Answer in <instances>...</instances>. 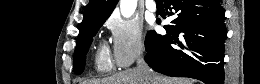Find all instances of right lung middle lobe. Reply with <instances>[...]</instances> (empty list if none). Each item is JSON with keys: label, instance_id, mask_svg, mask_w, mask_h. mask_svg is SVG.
I'll return each mask as SVG.
<instances>
[{"label": "right lung middle lobe", "instance_id": "1", "mask_svg": "<svg viewBox=\"0 0 260 84\" xmlns=\"http://www.w3.org/2000/svg\"><path fill=\"white\" fill-rule=\"evenodd\" d=\"M104 22L105 20L93 23L89 28L84 30L77 37L76 48L74 53V72L76 74H81L83 72L86 54L92 42V38L96 35L99 28L103 25ZM150 34L151 32H148L146 36L145 47L148 46Z\"/></svg>", "mask_w": 260, "mask_h": 84}]
</instances>
